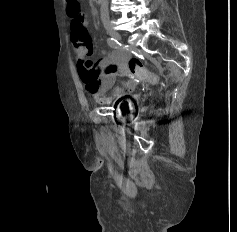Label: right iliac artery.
Here are the masks:
<instances>
[{
  "mask_svg": "<svg viewBox=\"0 0 237 232\" xmlns=\"http://www.w3.org/2000/svg\"><path fill=\"white\" fill-rule=\"evenodd\" d=\"M107 43L111 48H114V49L119 48V45H120L116 39L111 38V37L107 38Z\"/></svg>",
  "mask_w": 237,
  "mask_h": 232,
  "instance_id": "82829eb1",
  "label": "right iliac artery"
}]
</instances>
